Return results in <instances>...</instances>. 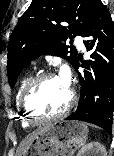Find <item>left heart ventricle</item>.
<instances>
[{
  "mask_svg": "<svg viewBox=\"0 0 114 156\" xmlns=\"http://www.w3.org/2000/svg\"><path fill=\"white\" fill-rule=\"evenodd\" d=\"M68 99L69 88L54 77L37 85L28 96L27 106L37 116H52L65 108Z\"/></svg>",
  "mask_w": 114,
  "mask_h": 156,
  "instance_id": "b2bd125f",
  "label": "left heart ventricle"
}]
</instances>
